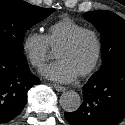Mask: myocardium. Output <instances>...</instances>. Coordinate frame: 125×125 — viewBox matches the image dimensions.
Here are the masks:
<instances>
[{"label": "myocardium", "mask_w": 125, "mask_h": 125, "mask_svg": "<svg viewBox=\"0 0 125 125\" xmlns=\"http://www.w3.org/2000/svg\"><path fill=\"white\" fill-rule=\"evenodd\" d=\"M85 34H91L94 37L95 42H96V54L91 65L85 71H83L82 73L78 75L81 78L90 76L96 70L100 62L101 55H102V42H101V38L98 32L95 31L94 29L84 28L74 33L67 41L61 44L56 50V51H59V50H66V49L71 48Z\"/></svg>", "instance_id": "obj_1"}]
</instances>
